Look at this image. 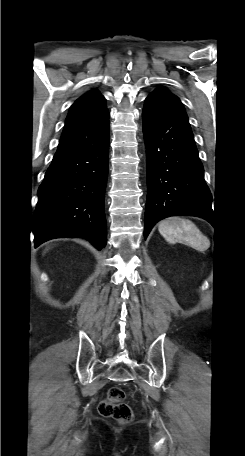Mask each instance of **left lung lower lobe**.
Returning <instances> with one entry per match:
<instances>
[{"label": "left lung lower lobe", "mask_w": 245, "mask_h": 456, "mask_svg": "<svg viewBox=\"0 0 245 456\" xmlns=\"http://www.w3.org/2000/svg\"><path fill=\"white\" fill-rule=\"evenodd\" d=\"M142 119L148 146L144 238L166 217L198 216L209 221L212 196L185 110L147 97Z\"/></svg>", "instance_id": "1"}]
</instances>
